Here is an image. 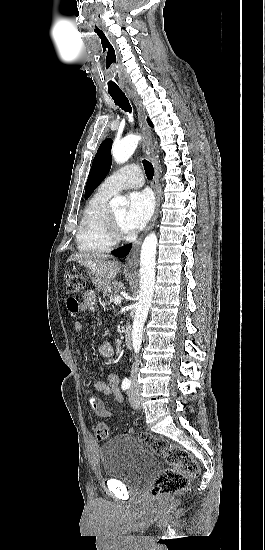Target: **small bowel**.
I'll list each match as a JSON object with an SVG mask.
<instances>
[{
  "label": "small bowel",
  "mask_w": 265,
  "mask_h": 550,
  "mask_svg": "<svg viewBox=\"0 0 265 550\" xmlns=\"http://www.w3.org/2000/svg\"><path fill=\"white\" fill-rule=\"evenodd\" d=\"M82 307L80 311L83 312H92L96 309L97 306V296L93 290H87L83 294ZM74 301L70 299L69 302ZM68 302V303H69ZM69 311L73 314V311L68 307ZM74 331L76 334H79L83 331V326L81 323H76L74 325ZM76 354L79 357H82V352L79 348H76ZM97 353L100 357L103 358H112L114 356V349L110 343H102L97 347ZM119 376L116 373H110L107 375L106 380H97L91 383V387L99 392H102L106 395L113 394L115 400L118 403L122 402V395L118 388ZM91 407L96 416L104 418L110 416V411L105 407L104 403L99 399H91Z\"/></svg>",
  "instance_id": "small-bowel-1"
}]
</instances>
